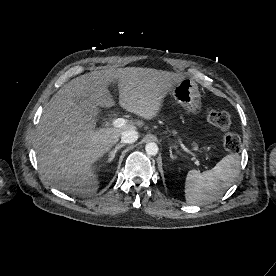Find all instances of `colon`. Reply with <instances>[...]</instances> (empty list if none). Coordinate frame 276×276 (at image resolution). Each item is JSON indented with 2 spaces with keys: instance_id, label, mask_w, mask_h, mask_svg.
<instances>
[{
  "instance_id": "5ec220e1",
  "label": "colon",
  "mask_w": 276,
  "mask_h": 276,
  "mask_svg": "<svg viewBox=\"0 0 276 276\" xmlns=\"http://www.w3.org/2000/svg\"><path fill=\"white\" fill-rule=\"evenodd\" d=\"M207 120L223 132L222 145L227 151L238 152L240 150L241 141L239 136L228 132L231 126V119L228 113L211 108L207 111Z\"/></svg>"
}]
</instances>
